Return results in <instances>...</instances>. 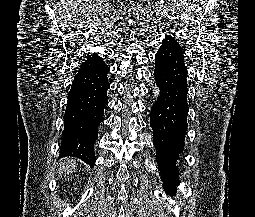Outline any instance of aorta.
I'll return each instance as SVG.
<instances>
[{
	"instance_id": "aorta-1",
	"label": "aorta",
	"mask_w": 255,
	"mask_h": 217,
	"mask_svg": "<svg viewBox=\"0 0 255 217\" xmlns=\"http://www.w3.org/2000/svg\"><path fill=\"white\" fill-rule=\"evenodd\" d=\"M153 94H154V97H159L160 96V90L156 86L154 87Z\"/></svg>"
}]
</instances>
